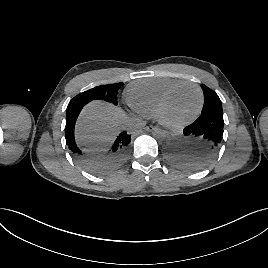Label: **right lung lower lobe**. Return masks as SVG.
Masks as SVG:
<instances>
[{
	"label": "right lung lower lobe",
	"instance_id": "obj_1",
	"mask_svg": "<svg viewBox=\"0 0 268 268\" xmlns=\"http://www.w3.org/2000/svg\"><path fill=\"white\" fill-rule=\"evenodd\" d=\"M87 103L88 102H78L74 104H68L66 110L65 126L66 144L70 149L73 157L80 164H82L86 169L93 173L102 174L116 169L124 162L129 151L131 136L126 131L122 132L117 137L114 144L106 153L103 159H96L88 153L82 151L75 142L74 126L80 111Z\"/></svg>",
	"mask_w": 268,
	"mask_h": 268
}]
</instances>
